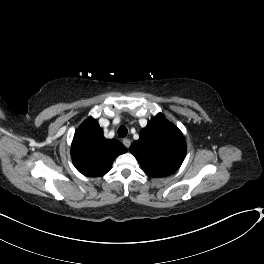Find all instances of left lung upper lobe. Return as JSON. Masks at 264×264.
Wrapping results in <instances>:
<instances>
[{
	"label": "left lung upper lobe",
	"mask_w": 264,
	"mask_h": 264,
	"mask_svg": "<svg viewBox=\"0 0 264 264\" xmlns=\"http://www.w3.org/2000/svg\"><path fill=\"white\" fill-rule=\"evenodd\" d=\"M181 131L159 113L142 129L140 138L130 146L145 173L163 177L174 173L186 155Z\"/></svg>",
	"instance_id": "obj_1"
}]
</instances>
